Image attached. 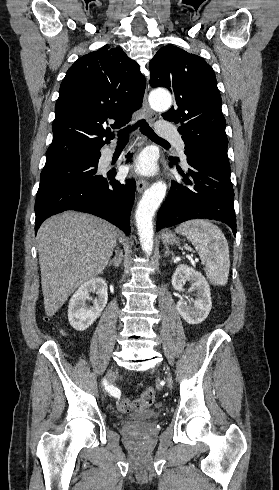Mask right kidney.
<instances>
[{
  "label": "right kidney",
  "mask_w": 279,
  "mask_h": 490,
  "mask_svg": "<svg viewBox=\"0 0 279 490\" xmlns=\"http://www.w3.org/2000/svg\"><path fill=\"white\" fill-rule=\"evenodd\" d=\"M90 292H96L97 298L94 300L93 306L87 308L86 300H90ZM107 300V284L103 278H92V280L81 284L77 292L70 298L68 306L70 326L78 330V332L87 330L99 318L107 304Z\"/></svg>",
  "instance_id": "1"
}]
</instances>
